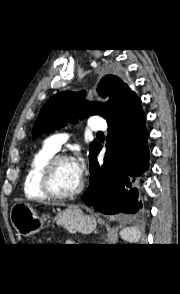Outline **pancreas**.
Listing matches in <instances>:
<instances>
[{
	"mask_svg": "<svg viewBox=\"0 0 180 294\" xmlns=\"http://www.w3.org/2000/svg\"><path fill=\"white\" fill-rule=\"evenodd\" d=\"M66 244H74V242H72V241H69V242H67Z\"/></svg>",
	"mask_w": 180,
	"mask_h": 294,
	"instance_id": "1",
	"label": "pancreas"
}]
</instances>
